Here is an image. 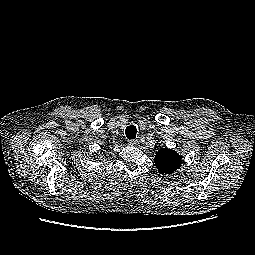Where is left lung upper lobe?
Masks as SVG:
<instances>
[{
  "label": "left lung upper lobe",
  "mask_w": 255,
  "mask_h": 255,
  "mask_svg": "<svg viewBox=\"0 0 255 255\" xmlns=\"http://www.w3.org/2000/svg\"><path fill=\"white\" fill-rule=\"evenodd\" d=\"M154 163L161 174H171L180 168L181 156L174 150L161 148L155 155Z\"/></svg>",
  "instance_id": "left-lung-upper-lobe-1"
}]
</instances>
